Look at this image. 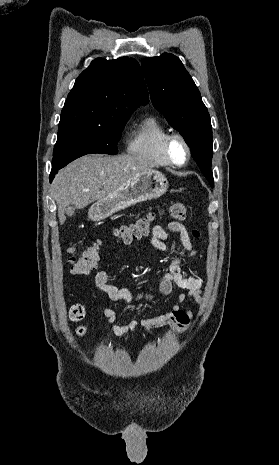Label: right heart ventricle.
<instances>
[{
  "label": "right heart ventricle",
  "mask_w": 279,
  "mask_h": 465,
  "mask_svg": "<svg viewBox=\"0 0 279 465\" xmlns=\"http://www.w3.org/2000/svg\"><path fill=\"white\" fill-rule=\"evenodd\" d=\"M169 133V128L159 117L146 116L129 140L127 150L158 165L169 166L162 148L163 141Z\"/></svg>",
  "instance_id": "1"
}]
</instances>
